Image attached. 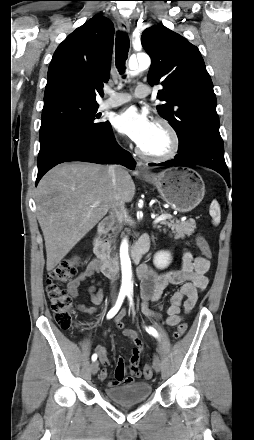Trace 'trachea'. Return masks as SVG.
<instances>
[{"instance_id":"3493384b","label":"trachea","mask_w":254,"mask_h":440,"mask_svg":"<svg viewBox=\"0 0 254 440\" xmlns=\"http://www.w3.org/2000/svg\"><path fill=\"white\" fill-rule=\"evenodd\" d=\"M115 63L119 72L123 73L125 70V62L128 58L129 52V37L125 32H120L116 36L115 42Z\"/></svg>"}]
</instances>
